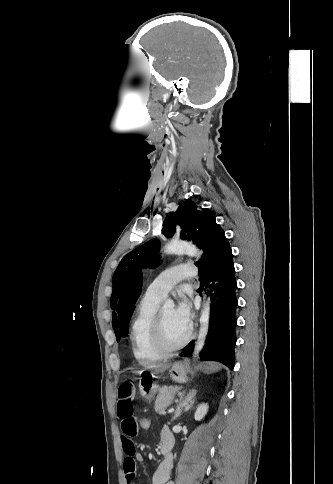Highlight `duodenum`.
<instances>
[{
    "label": "duodenum",
    "instance_id": "410a0bca",
    "mask_svg": "<svg viewBox=\"0 0 333 484\" xmlns=\"http://www.w3.org/2000/svg\"><path fill=\"white\" fill-rule=\"evenodd\" d=\"M161 453L163 455V462L168 464L172 458L173 445L171 443L163 442L160 446Z\"/></svg>",
    "mask_w": 333,
    "mask_h": 484
}]
</instances>
